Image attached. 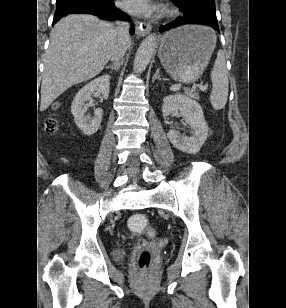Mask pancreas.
Instances as JSON below:
<instances>
[{
	"mask_svg": "<svg viewBox=\"0 0 286 308\" xmlns=\"http://www.w3.org/2000/svg\"><path fill=\"white\" fill-rule=\"evenodd\" d=\"M188 95L194 99H199V95L195 92V89L188 90Z\"/></svg>",
	"mask_w": 286,
	"mask_h": 308,
	"instance_id": "cf45deb5",
	"label": "pancreas"
}]
</instances>
